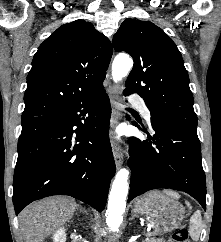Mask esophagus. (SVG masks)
Instances as JSON below:
<instances>
[{"label":"esophagus","mask_w":221,"mask_h":242,"mask_svg":"<svg viewBox=\"0 0 221 242\" xmlns=\"http://www.w3.org/2000/svg\"><path fill=\"white\" fill-rule=\"evenodd\" d=\"M118 86H109V96L113 106L110 120V142L114 155L116 168L119 169L123 164V152L119 140L115 136V128L120 119L121 103L119 102Z\"/></svg>","instance_id":"34e87169"}]
</instances>
